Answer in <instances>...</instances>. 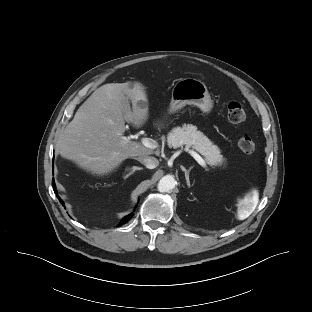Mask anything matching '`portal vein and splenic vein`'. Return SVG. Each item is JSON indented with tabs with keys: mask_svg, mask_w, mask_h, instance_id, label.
<instances>
[{
	"mask_svg": "<svg viewBox=\"0 0 312 312\" xmlns=\"http://www.w3.org/2000/svg\"><path fill=\"white\" fill-rule=\"evenodd\" d=\"M141 143L142 145H144L145 147L147 148H150V149H155L157 148V142L151 138H142L141 139ZM189 153L192 155V157L202 166V167H206V162L204 161V159L199 155L197 154L196 152L194 151H189Z\"/></svg>",
	"mask_w": 312,
	"mask_h": 312,
	"instance_id": "1",
	"label": "portal vein and splenic vein"
}]
</instances>
